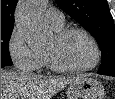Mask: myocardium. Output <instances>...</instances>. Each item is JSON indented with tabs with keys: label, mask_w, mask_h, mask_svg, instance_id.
<instances>
[{
	"label": "myocardium",
	"mask_w": 115,
	"mask_h": 99,
	"mask_svg": "<svg viewBox=\"0 0 115 99\" xmlns=\"http://www.w3.org/2000/svg\"><path fill=\"white\" fill-rule=\"evenodd\" d=\"M73 33H80L84 35L91 43L93 47V52H94L92 62L88 65L80 66V67L65 66L58 63L50 52L45 51L44 54L46 57L47 64L52 70L57 71V72H65V73H81V72L90 71L99 64L100 58H101V51H100L99 44L97 40L95 39V37L86 29L81 28V27H69V28L61 29L56 32L55 38L56 40L61 41Z\"/></svg>",
	"instance_id": "myocardium-1"
}]
</instances>
